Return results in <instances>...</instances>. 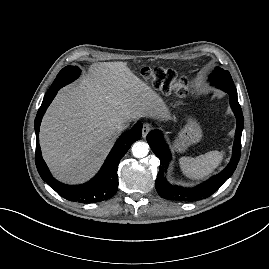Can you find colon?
<instances>
[{"instance_id": "5ec220e1", "label": "colon", "mask_w": 269, "mask_h": 269, "mask_svg": "<svg viewBox=\"0 0 269 269\" xmlns=\"http://www.w3.org/2000/svg\"><path fill=\"white\" fill-rule=\"evenodd\" d=\"M142 75L144 78L151 80L157 87L169 88L175 83L177 85L178 92L181 95H186L191 85V82L188 79L182 78L176 81L171 72L162 69H148L143 71Z\"/></svg>"}]
</instances>
